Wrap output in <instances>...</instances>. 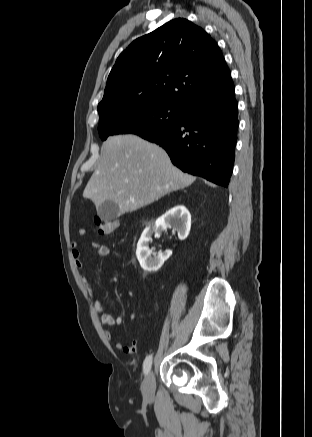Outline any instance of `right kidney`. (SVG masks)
I'll return each mask as SVG.
<instances>
[{"label": "right kidney", "mask_w": 312, "mask_h": 437, "mask_svg": "<svg viewBox=\"0 0 312 437\" xmlns=\"http://www.w3.org/2000/svg\"><path fill=\"white\" fill-rule=\"evenodd\" d=\"M168 227H172L173 230L177 231L180 240L187 238L191 228V215L185 206H175L143 231L137 244L136 256L145 271L159 270L172 254V251L168 250L163 254L152 257V252L148 246L153 234L155 236L159 235L162 230Z\"/></svg>", "instance_id": "obj_1"}]
</instances>
